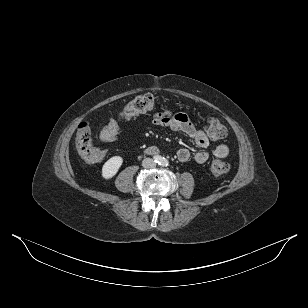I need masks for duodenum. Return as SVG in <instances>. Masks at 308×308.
<instances>
[{"label":"duodenum","instance_id":"1","mask_svg":"<svg viewBox=\"0 0 308 308\" xmlns=\"http://www.w3.org/2000/svg\"><path fill=\"white\" fill-rule=\"evenodd\" d=\"M149 154H156L158 152L157 148L151 147L147 150Z\"/></svg>","mask_w":308,"mask_h":308}]
</instances>
